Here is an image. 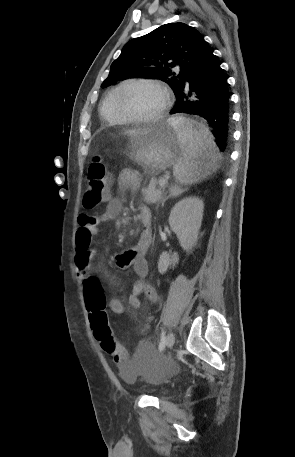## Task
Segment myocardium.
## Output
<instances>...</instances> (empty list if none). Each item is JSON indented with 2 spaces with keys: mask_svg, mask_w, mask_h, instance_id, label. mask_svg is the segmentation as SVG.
<instances>
[{
  "mask_svg": "<svg viewBox=\"0 0 295 457\" xmlns=\"http://www.w3.org/2000/svg\"><path fill=\"white\" fill-rule=\"evenodd\" d=\"M139 85H149V86H155L158 87L159 89L162 90L165 96V102L160 110L156 115L150 116V117H138L130 113L123 105L122 103V97L123 95L132 87L139 86ZM171 93L169 88L162 82L157 81V80H151V79H137V80H131L128 82L123 83L119 89L117 90L115 97H114V106L116 111L123 117L125 118L128 122L132 123H153L156 121H159L162 119L165 114L168 112L170 106H171Z\"/></svg>",
  "mask_w": 295,
  "mask_h": 457,
  "instance_id": "myocardium-1",
  "label": "myocardium"
}]
</instances>
